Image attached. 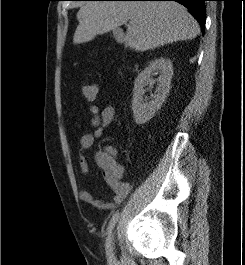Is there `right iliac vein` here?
<instances>
[{"mask_svg": "<svg viewBox=\"0 0 245 265\" xmlns=\"http://www.w3.org/2000/svg\"><path fill=\"white\" fill-rule=\"evenodd\" d=\"M106 254L110 261L115 259L114 256V232H111L106 242Z\"/></svg>", "mask_w": 245, "mask_h": 265, "instance_id": "obj_1", "label": "right iliac vein"}]
</instances>
